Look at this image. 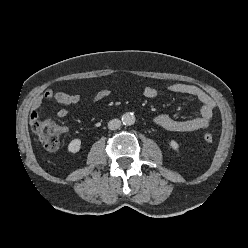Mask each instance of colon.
Here are the masks:
<instances>
[{
	"label": "colon",
	"instance_id": "5ec220e1",
	"mask_svg": "<svg viewBox=\"0 0 248 248\" xmlns=\"http://www.w3.org/2000/svg\"><path fill=\"white\" fill-rule=\"evenodd\" d=\"M33 131L38 136L40 142L48 151H56L60 143L61 128L53 120L36 121L33 124ZM204 140L211 143L213 136L211 133L204 135Z\"/></svg>",
	"mask_w": 248,
	"mask_h": 248
}]
</instances>
